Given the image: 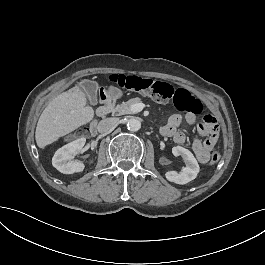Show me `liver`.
Segmentation results:
<instances>
[{"mask_svg": "<svg viewBox=\"0 0 265 265\" xmlns=\"http://www.w3.org/2000/svg\"><path fill=\"white\" fill-rule=\"evenodd\" d=\"M95 109L86 105L85 94L78 86L58 94L41 113L35 141L44 150L60 138L74 132L94 120Z\"/></svg>", "mask_w": 265, "mask_h": 265, "instance_id": "obj_1", "label": "liver"}]
</instances>
